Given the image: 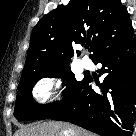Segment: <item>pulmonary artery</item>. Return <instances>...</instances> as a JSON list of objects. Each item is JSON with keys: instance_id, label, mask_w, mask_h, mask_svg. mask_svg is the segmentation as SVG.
I'll use <instances>...</instances> for the list:
<instances>
[{"instance_id": "obj_1", "label": "pulmonary artery", "mask_w": 136, "mask_h": 136, "mask_svg": "<svg viewBox=\"0 0 136 136\" xmlns=\"http://www.w3.org/2000/svg\"><path fill=\"white\" fill-rule=\"evenodd\" d=\"M81 64L84 68H90L92 66V61L88 57H83Z\"/></svg>"}]
</instances>
